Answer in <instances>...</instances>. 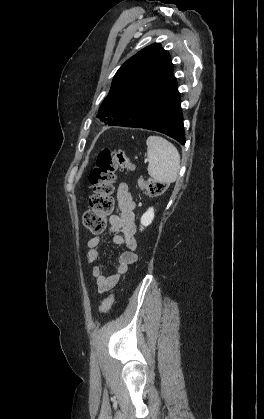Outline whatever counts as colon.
I'll use <instances>...</instances> for the list:
<instances>
[{
  "label": "colon",
  "instance_id": "1",
  "mask_svg": "<svg viewBox=\"0 0 264 419\" xmlns=\"http://www.w3.org/2000/svg\"><path fill=\"white\" fill-rule=\"evenodd\" d=\"M119 169L133 170L134 165L123 152L104 149L98 154L95 166L89 174L92 194L89 198V209L83 215V224L93 233L104 230L106 218L113 211V183L115 172ZM139 185L150 195H160L167 189L166 183L154 179L141 178ZM112 304L113 295H109L101 304V313L106 314Z\"/></svg>",
  "mask_w": 264,
  "mask_h": 419
}]
</instances>
